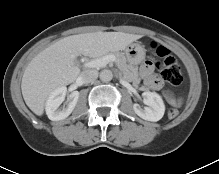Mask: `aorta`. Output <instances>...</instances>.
Here are the masks:
<instances>
[{"label":"aorta","mask_w":219,"mask_h":174,"mask_svg":"<svg viewBox=\"0 0 219 174\" xmlns=\"http://www.w3.org/2000/svg\"><path fill=\"white\" fill-rule=\"evenodd\" d=\"M100 80L101 81H103V82H109V81H111L112 80V78H113V73H112V71L111 70H107V69H105V70H102L101 72H100Z\"/></svg>","instance_id":"obj_1"}]
</instances>
